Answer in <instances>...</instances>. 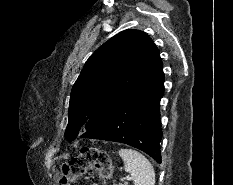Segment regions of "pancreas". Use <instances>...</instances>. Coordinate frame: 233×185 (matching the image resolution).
<instances>
[{
  "instance_id": "cf45deb5",
  "label": "pancreas",
  "mask_w": 233,
  "mask_h": 185,
  "mask_svg": "<svg viewBox=\"0 0 233 185\" xmlns=\"http://www.w3.org/2000/svg\"><path fill=\"white\" fill-rule=\"evenodd\" d=\"M114 185H117V184H114ZM118 185H128V183L127 182H125L124 184L119 183Z\"/></svg>"
}]
</instances>
